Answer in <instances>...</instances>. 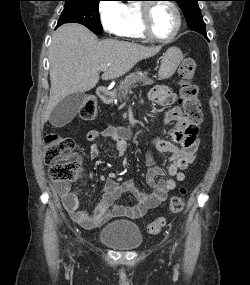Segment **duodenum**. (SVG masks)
Returning a JSON list of instances; mask_svg holds the SVG:
<instances>
[{
    "mask_svg": "<svg viewBox=\"0 0 250 285\" xmlns=\"http://www.w3.org/2000/svg\"><path fill=\"white\" fill-rule=\"evenodd\" d=\"M97 95L103 103H108L111 100V93L109 89L106 87H103V86L98 87Z\"/></svg>",
    "mask_w": 250,
    "mask_h": 285,
    "instance_id": "1",
    "label": "duodenum"
}]
</instances>
